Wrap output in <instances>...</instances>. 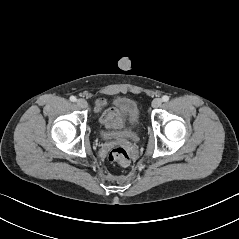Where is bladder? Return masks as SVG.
I'll return each instance as SVG.
<instances>
[{
    "label": "bladder",
    "instance_id": "31cf9c89",
    "mask_svg": "<svg viewBox=\"0 0 239 239\" xmlns=\"http://www.w3.org/2000/svg\"><path fill=\"white\" fill-rule=\"evenodd\" d=\"M116 105L124 113L126 125L113 131H103L102 137L106 140H119L136 137L140 127L139 109L135 101L128 98H119Z\"/></svg>",
    "mask_w": 239,
    "mask_h": 239
}]
</instances>
